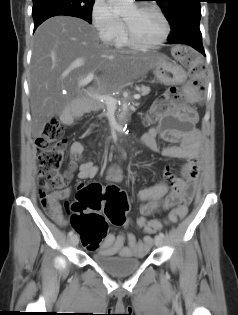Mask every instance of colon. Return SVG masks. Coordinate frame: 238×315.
<instances>
[{
	"instance_id": "5ec220e1",
	"label": "colon",
	"mask_w": 238,
	"mask_h": 315,
	"mask_svg": "<svg viewBox=\"0 0 238 315\" xmlns=\"http://www.w3.org/2000/svg\"><path fill=\"white\" fill-rule=\"evenodd\" d=\"M172 55L180 63L190 68L196 89L202 92L206 87V67L199 53L191 48L175 46ZM182 95L177 89L166 91L153 105L148 113L147 121L152 123L163 116L168 107L179 103ZM38 150V186L41 205L47 211L51 207L52 195L62 190L69 174L61 172L66 140L64 131L57 119L49 120L36 140ZM71 210L70 222L80 235L82 243L88 248H97L105 238L108 222L121 226L126 222L129 210L127 196L116 186L103 187L99 183L80 185L76 200L68 205ZM186 214L181 205L168 215V222H177ZM160 220H150L144 229L154 234L162 228Z\"/></svg>"
}]
</instances>
